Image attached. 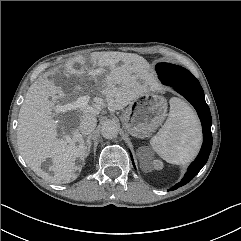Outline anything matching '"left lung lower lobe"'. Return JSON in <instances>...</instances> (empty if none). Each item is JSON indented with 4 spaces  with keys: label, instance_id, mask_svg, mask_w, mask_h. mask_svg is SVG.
Returning a JSON list of instances; mask_svg holds the SVG:
<instances>
[{
    "label": "left lung lower lobe",
    "instance_id": "0a47b994",
    "mask_svg": "<svg viewBox=\"0 0 241 241\" xmlns=\"http://www.w3.org/2000/svg\"><path fill=\"white\" fill-rule=\"evenodd\" d=\"M159 79L163 84L172 86L178 93L183 95L194 106L201 120L203 129V144L200 153L189 166L188 171L182 181L177 183L173 188L169 189L175 190L192 180L207 162L212 148V119L209 107L205 102L203 89L198 80L189 83L172 84L163 78L159 77Z\"/></svg>",
    "mask_w": 241,
    "mask_h": 241
}]
</instances>
